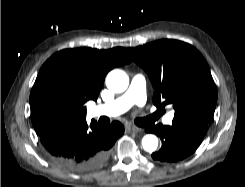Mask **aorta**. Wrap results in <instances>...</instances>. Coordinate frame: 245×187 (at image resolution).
I'll return each mask as SVG.
<instances>
[{
	"mask_svg": "<svg viewBox=\"0 0 245 187\" xmlns=\"http://www.w3.org/2000/svg\"><path fill=\"white\" fill-rule=\"evenodd\" d=\"M106 85L112 92H124L129 85V77L122 70H112L106 77ZM142 146L145 151L152 153L158 147V138L155 135L147 134L142 139Z\"/></svg>",
	"mask_w": 245,
	"mask_h": 187,
	"instance_id": "1",
	"label": "aorta"
}]
</instances>
